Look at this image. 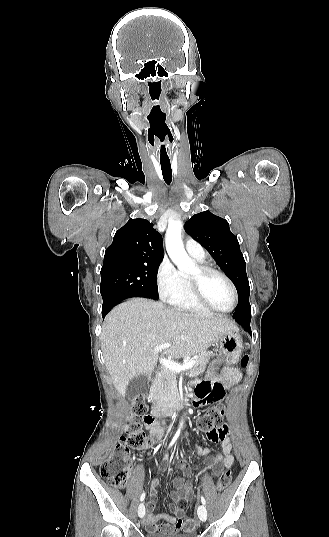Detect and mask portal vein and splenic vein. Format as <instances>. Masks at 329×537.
<instances>
[{"label":"portal vein and splenic vein","mask_w":329,"mask_h":537,"mask_svg":"<svg viewBox=\"0 0 329 537\" xmlns=\"http://www.w3.org/2000/svg\"><path fill=\"white\" fill-rule=\"evenodd\" d=\"M171 346V343H162L160 345H157L155 348H154V352L157 353L163 349H166L168 347ZM160 362L165 366L167 367L168 369L174 371V372H178L180 373L181 371H185V370H188V369H191L194 365V361H189L188 363H185V364H179L171 359H160Z\"/></svg>","instance_id":"portal-vein-and-splenic-vein-1"}]
</instances>
